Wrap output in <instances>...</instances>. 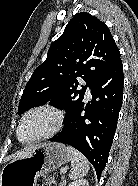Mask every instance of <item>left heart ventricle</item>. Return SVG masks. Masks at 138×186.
<instances>
[{
	"mask_svg": "<svg viewBox=\"0 0 138 186\" xmlns=\"http://www.w3.org/2000/svg\"><path fill=\"white\" fill-rule=\"evenodd\" d=\"M56 116L47 110L30 114L24 121L20 136L23 140H31L49 132L56 124Z\"/></svg>",
	"mask_w": 138,
	"mask_h": 186,
	"instance_id": "b2bd125f",
	"label": "left heart ventricle"
}]
</instances>
